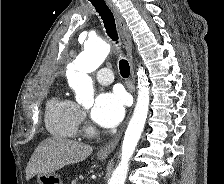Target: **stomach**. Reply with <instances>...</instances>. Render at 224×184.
<instances>
[{"label": "stomach", "mask_w": 224, "mask_h": 184, "mask_svg": "<svg viewBox=\"0 0 224 184\" xmlns=\"http://www.w3.org/2000/svg\"><path fill=\"white\" fill-rule=\"evenodd\" d=\"M99 160H104L105 157L98 156ZM38 184H63L61 178L57 174H46L39 173L37 174Z\"/></svg>", "instance_id": "0dacf381"}]
</instances>
